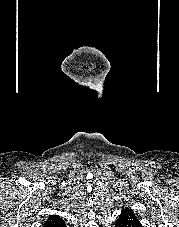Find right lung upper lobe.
I'll use <instances>...</instances> for the list:
<instances>
[{"label": "right lung upper lobe", "mask_w": 179, "mask_h": 227, "mask_svg": "<svg viewBox=\"0 0 179 227\" xmlns=\"http://www.w3.org/2000/svg\"><path fill=\"white\" fill-rule=\"evenodd\" d=\"M64 225V221L57 215L50 216L44 223V227H60Z\"/></svg>", "instance_id": "cb5924a9"}]
</instances>
